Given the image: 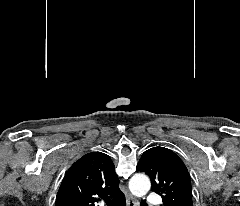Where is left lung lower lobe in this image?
I'll return each mask as SVG.
<instances>
[{
    "mask_svg": "<svg viewBox=\"0 0 240 206\" xmlns=\"http://www.w3.org/2000/svg\"><path fill=\"white\" fill-rule=\"evenodd\" d=\"M141 206H146V204H145V203H142Z\"/></svg>",
    "mask_w": 240,
    "mask_h": 206,
    "instance_id": "1",
    "label": "left lung lower lobe"
}]
</instances>
